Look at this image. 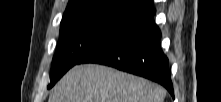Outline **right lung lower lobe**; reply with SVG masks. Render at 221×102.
Returning <instances> with one entry per match:
<instances>
[{"mask_svg": "<svg viewBox=\"0 0 221 102\" xmlns=\"http://www.w3.org/2000/svg\"><path fill=\"white\" fill-rule=\"evenodd\" d=\"M151 7L90 51L78 64L98 63L155 81L174 96L170 66L161 48V31ZM50 88V87H49Z\"/></svg>", "mask_w": 221, "mask_h": 102, "instance_id": "obj_1", "label": "right lung lower lobe"}]
</instances>
